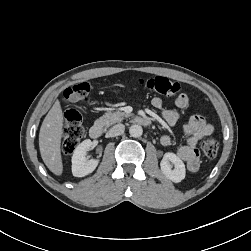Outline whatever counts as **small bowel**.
Returning <instances> with one entry per match:
<instances>
[{
	"instance_id": "obj_1",
	"label": "small bowel",
	"mask_w": 251,
	"mask_h": 251,
	"mask_svg": "<svg viewBox=\"0 0 251 251\" xmlns=\"http://www.w3.org/2000/svg\"><path fill=\"white\" fill-rule=\"evenodd\" d=\"M152 105L161 111L162 118L167 124L173 126L177 123L179 112L177 110L165 109L164 100L161 97H154ZM188 105L189 97L185 93H181L175 99V106L178 109H184ZM184 133L187 136V140L185 144L178 147L177 154L186 163L190 172H196L199 169V153L196 146L202 138L213 133V126L204 117L194 115L184 125ZM160 141L164 147L171 146L173 142L169 135H163Z\"/></svg>"
}]
</instances>
